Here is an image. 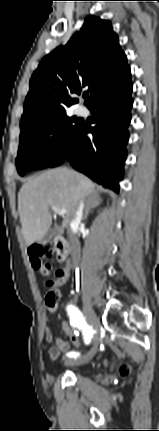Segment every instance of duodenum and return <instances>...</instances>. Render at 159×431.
I'll return each mask as SVG.
<instances>
[{
    "label": "duodenum",
    "instance_id": "410a0bca",
    "mask_svg": "<svg viewBox=\"0 0 159 431\" xmlns=\"http://www.w3.org/2000/svg\"><path fill=\"white\" fill-rule=\"evenodd\" d=\"M54 245L57 252V256L60 260H65L69 256V245L62 236H56L54 239Z\"/></svg>",
    "mask_w": 159,
    "mask_h": 431
}]
</instances>
